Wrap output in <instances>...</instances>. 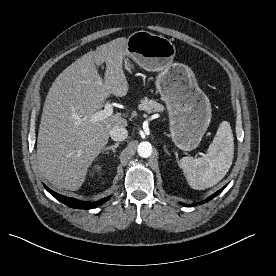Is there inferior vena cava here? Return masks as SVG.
Wrapping results in <instances>:
<instances>
[{"label":"inferior vena cava","instance_id":"1","mask_svg":"<svg viewBox=\"0 0 276 276\" xmlns=\"http://www.w3.org/2000/svg\"><path fill=\"white\" fill-rule=\"evenodd\" d=\"M128 136L127 130L122 126H115L110 131V137L114 141H124Z\"/></svg>","mask_w":276,"mask_h":276}]
</instances>
